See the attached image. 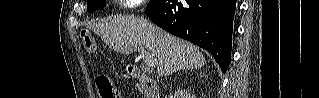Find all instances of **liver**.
I'll list each match as a JSON object with an SVG mask.
<instances>
[{"label":"liver","instance_id":"6515ba94","mask_svg":"<svg viewBox=\"0 0 319 98\" xmlns=\"http://www.w3.org/2000/svg\"><path fill=\"white\" fill-rule=\"evenodd\" d=\"M111 49L131 54L139 46L156 62L159 77L184 69H199L206 64L204 55L188 41L177 38L143 17L117 15L89 26Z\"/></svg>","mask_w":319,"mask_h":98}]
</instances>
